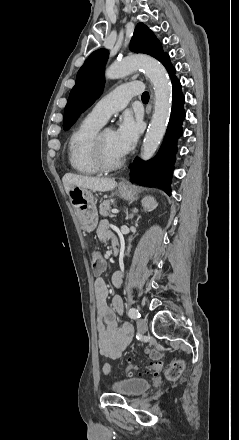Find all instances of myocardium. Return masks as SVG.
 <instances>
[{
    "label": "myocardium",
    "mask_w": 239,
    "mask_h": 440,
    "mask_svg": "<svg viewBox=\"0 0 239 440\" xmlns=\"http://www.w3.org/2000/svg\"><path fill=\"white\" fill-rule=\"evenodd\" d=\"M102 134L103 130H99L92 138L90 145L91 156L94 163L101 171H115L122 166L125 156L121 155L113 161L109 160L102 145Z\"/></svg>",
    "instance_id": "myocardium-1"
}]
</instances>
